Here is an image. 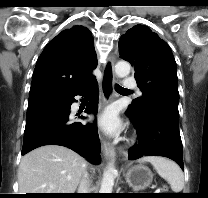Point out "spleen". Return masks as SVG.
I'll use <instances>...</instances> for the list:
<instances>
[{"instance_id":"obj_1","label":"spleen","mask_w":208,"mask_h":198,"mask_svg":"<svg viewBox=\"0 0 208 198\" xmlns=\"http://www.w3.org/2000/svg\"><path fill=\"white\" fill-rule=\"evenodd\" d=\"M157 173L165 179L171 186L174 193H180L184 187V175L180 167L173 161L163 157H146Z\"/></svg>"}]
</instances>
